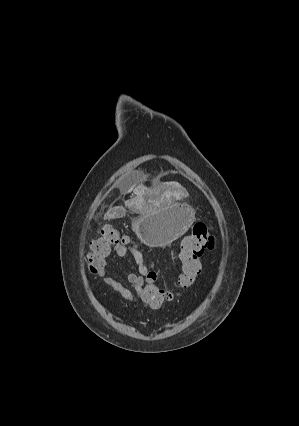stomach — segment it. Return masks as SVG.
Here are the masks:
<instances>
[{
	"label": "stomach",
	"mask_w": 299,
	"mask_h": 426,
	"mask_svg": "<svg viewBox=\"0 0 299 426\" xmlns=\"http://www.w3.org/2000/svg\"><path fill=\"white\" fill-rule=\"evenodd\" d=\"M194 221V209L187 203L175 202L134 218L132 230L148 247H165L185 234Z\"/></svg>",
	"instance_id": "stomach-1"
}]
</instances>
